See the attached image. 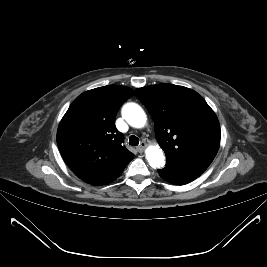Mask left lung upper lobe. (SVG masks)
Here are the masks:
<instances>
[{
    "instance_id": "obj_1",
    "label": "left lung upper lobe",
    "mask_w": 267,
    "mask_h": 267,
    "mask_svg": "<svg viewBox=\"0 0 267 267\" xmlns=\"http://www.w3.org/2000/svg\"><path fill=\"white\" fill-rule=\"evenodd\" d=\"M149 111L155 136L166 160L204 172L220 145V125L214 111L195 91L173 84L136 89Z\"/></svg>"
}]
</instances>
